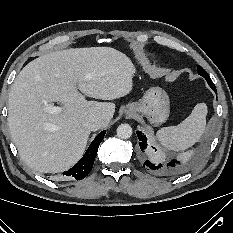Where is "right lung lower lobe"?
<instances>
[{"label":"right lung lower lobe","mask_w":233,"mask_h":233,"mask_svg":"<svg viewBox=\"0 0 233 233\" xmlns=\"http://www.w3.org/2000/svg\"><path fill=\"white\" fill-rule=\"evenodd\" d=\"M105 133L106 131L100 132L92 141L80 161L71 169L63 173L65 179L81 180L89 174L93 167L98 147L103 140Z\"/></svg>","instance_id":"98d812e1"}]
</instances>
